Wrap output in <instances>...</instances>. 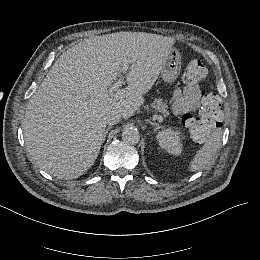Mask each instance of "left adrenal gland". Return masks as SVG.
I'll return each mask as SVG.
<instances>
[{"mask_svg":"<svg viewBox=\"0 0 260 260\" xmlns=\"http://www.w3.org/2000/svg\"><path fill=\"white\" fill-rule=\"evenodd\" d=\"M148 123L152 126H155L154 131H158L159 129H163L162 126H160L158 123H153L151 120H148Z\"/></svg>","mask_w":260,"mask_h":260,"instance_id":"a2214340","label":"left adrenal gland"}]
</instances>
